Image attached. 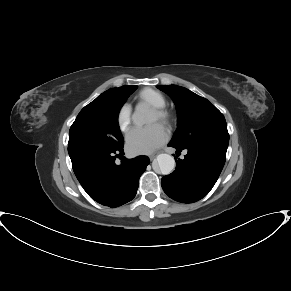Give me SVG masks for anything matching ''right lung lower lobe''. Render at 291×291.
I'll use <instances>...</instances> for the list:
<instances>
[{
    "mask_svg": "<svg viewBox=\"0 0 291 291\" xmlns=\"http://www.w3.org/2000/svg\"><path fill=\"white\" fill-rule=\"evenodd\" d=\"M74 173L88 195L98 203L111 208L132 200L139 186V178L150 160L146 156L121 160L123 145L102 148L90 145L68 147Z\"/></svg>",
    "mask_w": 291,
    "mask_h": 291,
    "instance_id": "right-lung-lower-lobe-1",
    "label": "right lung lower lobe"
}]
</instances>
